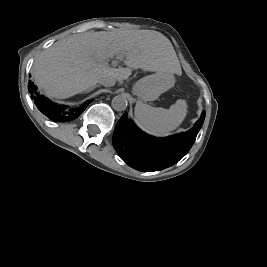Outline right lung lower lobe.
I'll return each mask as SVG.
<instances>
[{
  "instance_id": "right-lung-lower-lobe-1",
  "label": "right lung lower lobe",
  "mask_w": 267,
  "mask_h": 267,
  "mask_svg": "<svg viewBox=\"0 0 267 267\" xmlns=\"http://www.w3.org/2000/svg\"><path fill=\"white\" fill-rule=\"evenodd\" d=\"M29 91L34 100L36 107L49 119L57 122H67L76 119L88 106L87 103L82 104L80 107L68 109L66 106L53 103L46 97L38 95L36 86L30 83Z\"/></svg>"
}]
</instances>
